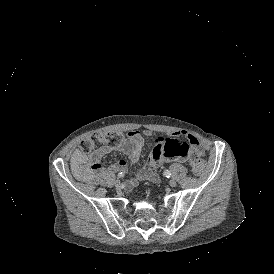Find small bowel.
<instances>
[{
  "mask_svg": "<svg viewBox=\"0 0 274 274\" xmlns=\"http://www.w3.org/2000/svg\"><path fill=\"white\" fill-rule=\"evenodd\" d=\"M179 135L185 136L192 150H198L202 156L204 154L202 145L199 139L191 133L181 131ZM151 136L149 130L143 131H131L127 134V137L121 138L117 143H106L100 149L94 151L91 154L82 152L80 150L74 151L71 157V167L76 178L85 181H93L104 170L101 160L102 158L113 152L122 151L128 154L131 166L137 168L140 161V155L144 146L145 137ZM164 148L167 151H164ZM189 148L183 140H175L174 138H168L165 133H155L152 136V144L147 152V159L152 163L149 167L150 173L139 174L138 178L147 180L152 183L159 181L157 170L161 164H186L188 160ZM127 161L124 159L118 160L114 165L110 167L112 171H121L127 168ZM137 180H131L126 184L127 189H132L136 186Z\"/></svg>",
  "mask_w": 274,
  "mask_h": 274,
  "instance_id": "1",
  "label": "small bowel"
}]
</instances>
